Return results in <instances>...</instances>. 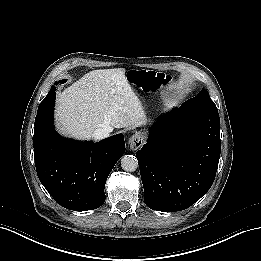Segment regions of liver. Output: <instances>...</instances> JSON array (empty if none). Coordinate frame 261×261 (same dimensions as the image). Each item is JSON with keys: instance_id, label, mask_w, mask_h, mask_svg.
<instances>
[{"instance_id": "6515ba94", "label": "liver", "mask_w": 261, "mask_h": 261, "mask_svg": "<svg viewBox=\"0 0 261 261\" xmlns=\"http://www.w3.org/2000/svg\"><path fill=\"white\" fill-rule=\"evenodd\" d=\"M124 69L94 70L58 94V131L89 140L98 128H136L146 124L139 99L127 89Z\"/></svg>"}]
</instances>
